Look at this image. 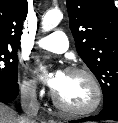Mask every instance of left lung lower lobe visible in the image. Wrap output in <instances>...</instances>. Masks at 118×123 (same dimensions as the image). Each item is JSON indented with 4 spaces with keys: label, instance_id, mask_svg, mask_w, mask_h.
I'll use <instances>...</instances> for the list:
<instances>
[{
    "label": "left lung lower lobe",
    "instance_id": "left-lung-lower-lobe-1",
    "mask_svg": "<svg viewBox=\"0 0 118 123\" xmlns=\"http://www.w3.org/2000/svg\"><path fill=\"white\" fill-rule=\"evenodd\" d=\"M98 120H115L118 121V102L104 108L98 115L83 118L80 120L71 121V123L84 122V121H98Z\"/></svg>",
    "mask_w": 118,
    "mask_h": 123
}]
</instances>
